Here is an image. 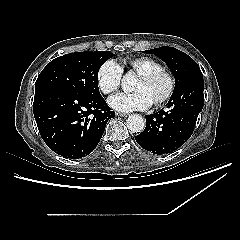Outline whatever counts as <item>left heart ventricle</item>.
<instances>
[{
	"label": "left heart ventricle",
	"instance_id": "b2bd125f",
	"mask_svg": "<svg viewBox=\"0 0 240 240\" xmlns=\"http://www.w3.org/2000/svg\"><path fill=\"white\" fill-rule=\"evenodd\" d=\"M166 87V82L161 78H157L150 82H146L140 78H137L133 89L143 92L150 102H154L163 95Z\"/></svg>",
	"mask_w": 240,
	"mask_h": 240
}]
</instances>
